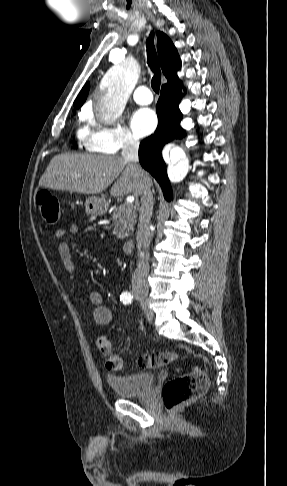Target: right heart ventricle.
<instances>
[{"instance_id":"1","label":"right heart ventricle","mask_w":287,"mask_h":486,"mask_svg":"<svg viewBox=\"0 0 287 486\" xmlns=\"http://www.w3.org/2000/svg\"><path fill=\"white\" fill-rule=\"evenodd\" d=\"M77 136H78V138L85 141V139L88 136V131L86 129H79L78 132H77Z\"/></svg>"}]
</instances>
